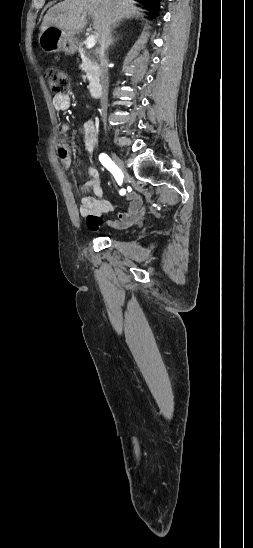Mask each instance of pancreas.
<instances>
[{
	"label": "pancreas",
	"instance_id": "cf45deb5",
	"mask_svg": "<svg viewBox=\"0 0 253 548\" xmlns=\"http://www.w3.org/2000/svg\"><path fill=\"white\" fill-rule=\"evenodd\" d=\"M81 59L82 64L80 65V69L86 73V77L89 80V88L92 89L99 82V65L90 55L82 54Z\"/></svg>",
	"mask_w": 253,
	"mask_h": 548
}]
</instances>
